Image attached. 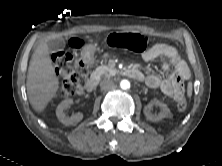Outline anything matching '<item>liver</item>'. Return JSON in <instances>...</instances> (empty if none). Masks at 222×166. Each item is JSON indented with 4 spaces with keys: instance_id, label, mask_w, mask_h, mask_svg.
Returning <instances> with one entry per match:
<instances>
[{
    "instance_id": "6515ba94",
    "label": "liver",
    "mask_w": 222,
    "mask_h": 166,
    "mask_svg": "<svg viewBox=\"0 0 222 166\" xmlns=\"http://www.w3.org/2000/svg\"><path fill=\"white\" fill-rule=\"evenodd\" d=\"M26 86L30 104L37 112L46 108L59 89L46 41L40 42L32 55Z\"/></svg>"
}]
</instances>
